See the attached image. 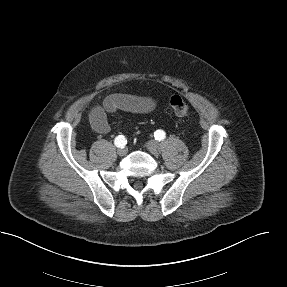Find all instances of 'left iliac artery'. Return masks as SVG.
Wrapping results in <instances>:
<instances>
[{
    "mask_svg": "<svg viewBox=\"0 0 287 287\" xmlns=\"http://www.w3.org/2000/svg\"><path fill=\"white\" fill-rule=\"evenodd\" d=\"M154 137H155L156 140L161 141V140L165 139L166 134H165V132L163 130H157L154 133Z\"/></svg>",
    "mask_w": 287,
    "mask_h": 287,
    "instance_id": "1",
    "label": "left iliac artery"
}]
</instances>
